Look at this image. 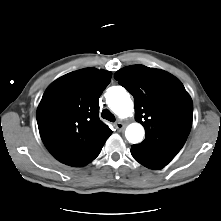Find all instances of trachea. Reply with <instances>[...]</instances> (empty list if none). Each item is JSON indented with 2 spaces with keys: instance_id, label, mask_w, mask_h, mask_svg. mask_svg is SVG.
<instances>
[{
  "instance_id": "obj_1",
  "label": "trachea",
  "mask_w": 221,
  "mask_h": 221,
  "mask_svg": "<svg viewBox=\"0 0 221 221\" xmlns=\"http://www.w3.org/2000/svg\"><path fill=\"white\" fill-rule=\"evenodd\" d=\"M102 118L110 121V122H114L115 121V116L108 110V109H104L102 111L101 114Z\"/></svg>"
}]
</instances>
